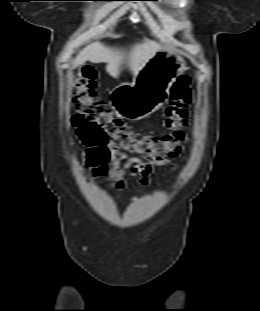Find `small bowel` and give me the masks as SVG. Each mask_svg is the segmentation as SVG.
I'll list each match as a JSON object with an SVG mask.
<instances>
[{"label":"small bowel","instance_id":"small-bowel-1","mask_svg":"<svg viewBox=\"0 0 260 311\" xmlns=\"http://www.w3.org/2000/svg\"><path fill=\"white\" fill-rule=\"evenodd\" d=\"M170 163L169 159L163 161L144 160L139 157H131L124 162L112 149L111 167L108 170L107 165L102 166L92 172L94 176H101L109 173V182L117 190H124L127 187L125 179L126 173L131 176L138 174L143 176L141 180L143 185H146L149 181V177L153 173L156 166H165Z\"/></svg>","mask_w":260,"mask_h":311}]
</instances>
